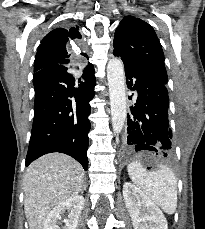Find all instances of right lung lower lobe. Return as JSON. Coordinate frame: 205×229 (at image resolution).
<instances>
[{"mask_svg": "<svg viewBox=\"0 0 205 229\" xmlns=\"http://www.w3.org/2000/svg\"><path fill=\"white\" fill-rule=\"evenodd\" d=\"M71 67L52 65L33 75L35 112L26 166L38 157L60 152L72 156L86 170L91 113L96 79L93 66L83 71L84 82L77 89Z\"/></svg>", "mask_w": 205, "mask_h": 229, "instance_id": "obj_1", "label": "right lung lower lobe"}]
</instances>
